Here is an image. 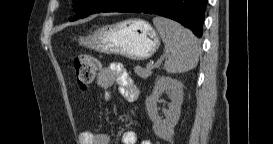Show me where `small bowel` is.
Segmentation results:
<instances>
[{
	"instance_id": "small-bowel-1",
	"label": "small bowel",
	"mask_w": 273,
	"mask_h": 144,
	"mask_svg": "<svg viewBox=\"0 0 273 144\" xmlns=\"http://www.w3.org/2000/svg\"><path fill=\"white\" fill-rule=\"evenodd\" d=\"M98 84L105 91H109L114 85H117L122 96L128 102L136 101L139 97V90L134 85L131 76L119 64H111L103 68L98 76ZM79 141L81 144H108L110 137L104 132L83 131L79 135ZM122 143L137 144V134L134 131H125L122 134ZM141 144H150V142L143 140Z\"/></svg>"
}]
</instances>
